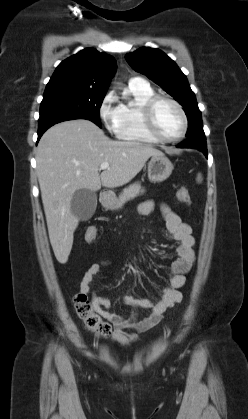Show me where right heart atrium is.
<instances>
[{
    "label": "right heart atrium",
    "mask_w": 248,
    "mask_h": 419,
    "mask_svg": "<svg viewBox=\"0 0 248 419\" xmlns=\"http://www.w3.org/2000/svg\"><path fill=\"white\" fill-rule=\"evenodd\" d=\"M99 116L106 129L117 134L120 124V108L113 91L103 97L99 106Z\"/></svg>",
    "instance_id": "d8ad5b80"
}]
</instances>
